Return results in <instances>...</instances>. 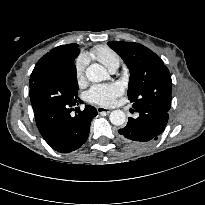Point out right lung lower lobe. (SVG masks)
<instances>
[{
  "label": "right lung lower lobe",
  "mask_w": 205,
  "mask_h": 205,
  "mask_svg": "<svg viewBox=\"0 0 205 205\" xmlns=\"http://www.w3.org/2000/svg\"><path fill=\"white\" fill-rule=\"evenodd\" d=\"M68 66L51 72L30 85V100L36 125L45 141L56 151L68 153L82 146L88 138L90 123L97 115L93 106L83 111L74 105L83 103L78 97Z\"/></svg>",
  "instance_id": "98d812e1"
}]
</instances>
